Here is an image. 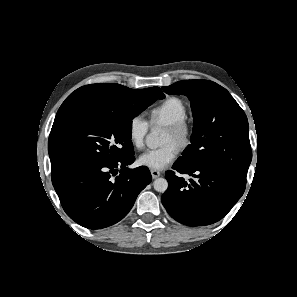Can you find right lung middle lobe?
I'll list each match as a JSON object with an SVG mask.
<instances>
[{
    "instance_id": "right-lung-middle-lobe-1",
    "label": "right lung middle lobe",
    "mask_w": 297,
    "mask_h": 297,
    "mask_svg": "<svg viewBox=\"0 0 297 297\" xmlns=\"http://www.w3.org/2000/svg\"><path fill=\"white\" fill-rule=\"evenodd\" d=\"M157 99L163 97L141 89L119 106L87 109L60 122L48 141L52 175L81 163L133 155L132 120Z\"/></svg>"
}]
</instances>
